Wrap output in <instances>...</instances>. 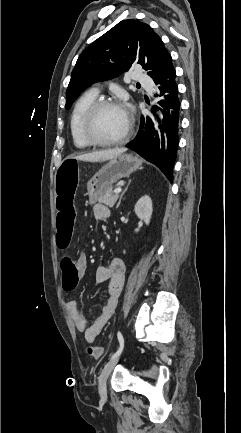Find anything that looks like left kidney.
I'll return each mask as SVG.
<instances>
[{
	"instance_id": "left-kidney-1",
	"label": "left kidney",
	"mask_w": 241,
	"mask_h": 433,
	"mask_svg": "<svg viewBox=\"0 0 241 433\" xmlns=\"http://www.w3.org/2000/svg\"><path fill=\"white\" fill-rule=\"evenodd\" d=\"M134 210L137 217L143 220L148 225L150 223L152 212H153L151 198L147 195L141 197L137 201Z\"/></svg>"
}]
</instances>
